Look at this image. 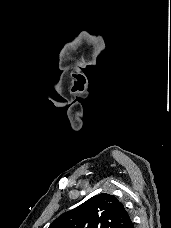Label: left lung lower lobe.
<instances>
[{"label":"left lung lower lobe","mask_w":171,"mask_h":228,"mask_svg":"<svg viewBox=\"0 0 171 228\" xmlns=\"http://www.w3.org/2000/svg\"><path fill=\"white\" fill-rule=\"evenodd\" d=\"M122 228H134L133 222L131 219H129L123 226Z\"/></svg>","instance_id":"obj_1"}]
</instances>
